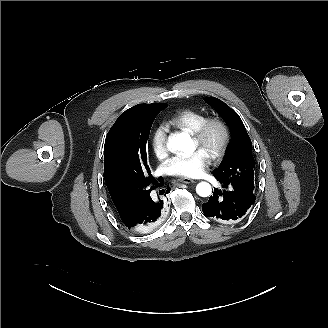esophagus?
<instances>
[{"mask_svg":"<svg viewBox=\"0 0 328 328\" xmlns=\"http://www.w3.org/2000/svg\"><path fill=\"white\" fill-rule=\"evenodd\" d=\"M178 182H181V183H194L195 181L191 178L184 177V178H179Z\"/></svg>","mask_w":328,"mask_h":328,"instance_id":"esophagus-1","label":"esophagus"}]
</instances>
